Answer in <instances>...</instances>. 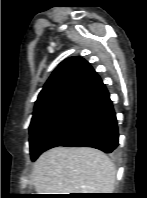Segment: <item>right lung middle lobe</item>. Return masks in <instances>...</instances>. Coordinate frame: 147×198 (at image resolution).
I'll return each instance as SVG.
<instances>
[{"label":"right lung middle lobe","mask_w":147,"mask_h":198,"mask_svg":"<svg viewBox=\"0 0 147 198\" xmlns=\"http://www.w3.org/2000/svg\"><path fill=\"white\" fill-rule=\"evenodd\" d=\"M73 104H54L35 110L29 127L30 153L33 159L41 143L71 110Z\"/></svg>","instance_id":"obj_1"}]
</instances>
